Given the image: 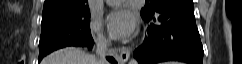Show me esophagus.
<instances>
[{"mask_svg":"<svg viewBox=\"0 0 242 64\" xmlns=\"http://www.w3.org/2000/svg\"><path fill=\"white\" fill-rule=\"evenodd\" d=\"M119 60L121 63H125L128 61L129 57H130V50L128 48H121L119 50Z\"/></svg>","mask_w":242,"mask_h":64,"instance_id":"esophagus-1","label":"esophagus"}]
</instances>
